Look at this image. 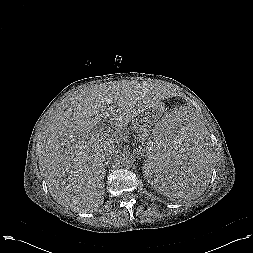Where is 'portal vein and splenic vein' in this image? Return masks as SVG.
<instances>
[{
	"mask_svg": "<svg viewBox=\"0 0 253 253\" xmlns=\"http://www.w3.org/2000/svg\"><path fill=\"white\" fill-rule=\"evenodd\" d=\"M109 117V114L106 115L105 119ZM108 134L102 129L96 130L95 133L92 134L91 140L97 141L99 138H105Z\"/></svg>",
	"mask_w": 253,
	"mask_h": 253,
	"instance_id": "1",
	"label": "portal vein and splenic vein"
}]
</instances>
